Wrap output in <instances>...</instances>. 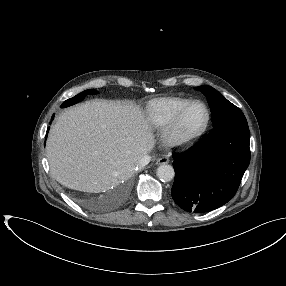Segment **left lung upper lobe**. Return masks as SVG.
<instances>
[{
  "instance_id": "5c2ea615",
  "label": "left lung upper lobe",
  "mask_w": 286,
  "mask_h": 286,
  "mask_svg": "<svg viewBox=\"0 0 286 286\" xmlns=\"http://www.w3.org/2000/svg\"><path fill=\"white\" fill-rule=\"evenodd\" d=\"M194 89L201 91L207 97L212 113L213 128L225 124H247L242 111L214 88L202 85Z\"/></svg>"
}]
</instances>
